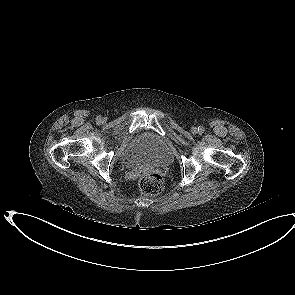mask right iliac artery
<instances>
[{
    "instance_id": "1",
    "label": "right iliac artery",
    "mask_w": 295,
    "mask_h": 295,
    "mask_svg": "<svg viewBox=\"0 0 295 295\" xmlns=\"http://www.w3.org/2000/svg\"><path fill=\"white\" fill-rule=\"evenodd\" d=\"M97 122H98V123L101 122V117H97Z\"/></svg>"
}]
</instances>
